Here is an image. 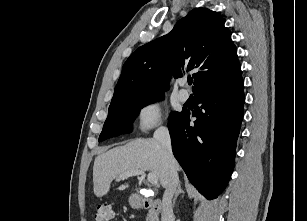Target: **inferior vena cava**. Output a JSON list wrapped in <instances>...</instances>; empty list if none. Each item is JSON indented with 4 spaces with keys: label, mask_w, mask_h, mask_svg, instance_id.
Returning a JSON list of instances; mask_svg holds the SVG:
<instances>
[{
    "label": "inferior vena cava",
    "mask_w": 307,
    "mask_h": 221,
    "mask_svg": "<svg viewBox=\"0 0 307 221\" xmlns=\"http://www.w3.org/2000/svg\"><path fill=\"white\" fill-rule=\"evenodd\" d=\"M153 138L161 144L168 160V183L163 195L161 221H175L172 198L179 184L177 173L178 163L172 153L171 139L168 129L165 127L158 128L155 131Z\"/></svg>",
    "instance_id": "obj_1"
}]
</instances>
